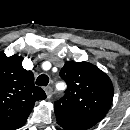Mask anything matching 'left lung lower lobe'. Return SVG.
Returning <instances> with one entry per match:
<instances>
[{
	"instance_id": "obj_1",
	"label": "left lung lower lobe",
	"mask_w": 130,
	"mask_h": 130,
	"mask_svg": "<svg viewBox=\"0 0 130 130\" xmlns=\"http://www.w3.org/2000/svg\"><path fill=\"white\" fill-rule=\"evenodd\" d=\"M55 115L58 124L65 130H87L98 123V121L61 106H55Z\"/></svg>"
}]
</instances>
